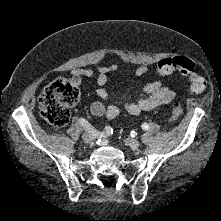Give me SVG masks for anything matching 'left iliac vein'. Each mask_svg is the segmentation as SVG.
<instances>
[{"label":"left iliac vein","mask_w":221,"mask_h":221,"mask_svg":"<svg viewBox=\"0 0 221 221\" xmlns=\"http://www.w3.org/2000/svg\"><path fill=\"white\" fill-rule=\"evenodd\" d=\"M127 145H129L132 149H137L140 146V142L135 139H127Z\"/></svg>","instance_id":"left-iliac-vein-1"}]
</instances>
